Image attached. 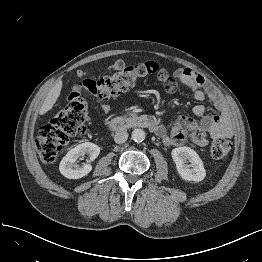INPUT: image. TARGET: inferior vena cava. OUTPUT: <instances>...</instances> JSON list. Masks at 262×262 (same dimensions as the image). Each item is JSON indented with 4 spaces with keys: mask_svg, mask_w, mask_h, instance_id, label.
<instances>
[{
    "mask_svg": "<svg viewBox=\"0 0 262 262\" xmlns=\"http://www.w3.org/2000/svg\"><path fill=\"white\" fill-rule=\"evenodd\" d=\"M128 139V133L126 131H119L114 135V141L118 144L126 142Z\"/></svg>",
    "mask_w": 262,
    "mask_h": 262,
    "instance_id": "602c4592",
    "label": "inferior vena cava"
}]
</instances>
